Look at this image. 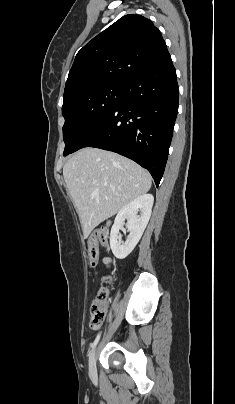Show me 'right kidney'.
Listing matches in <instances>:
<instances>
[{
	"label": "right kidney",
	"instance_id": "ca27d5eb",
	"mask_svg": "<svg viewBox=\"0 0 235 404\" xmlns=\"http://www.w3.org/2000/svg\"><path fill=\"white\" fill-rule=\"evenodd\" d=\"M154 197L144 194L124 206L117 214L110 233V247L118 259L126 258L139 242L151 216ZM141 214L138 215V210ZM129 235L124 243L119 240V231L123 229L124 221Z\"/></svg>",
	"mask_w": 235,
	"mask_h": 404
}]
</instances>
